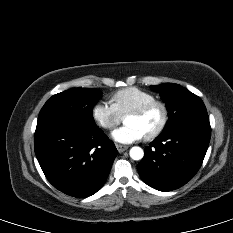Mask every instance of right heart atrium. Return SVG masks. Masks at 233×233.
<instances>
[{"instance_id":"1","label":"right heart atrium","mask_w":233,"mask_h":233,"mask_svg":"<svg viewBox=\"0 0 233 233\" xmlns=\"http://www.w3.org/2000/svg\"><path fill=\"white\" fill-rule=\"evenodd\" d=\"M92 118L98 126L105 130H112L122 121V116L112 103L102 101L93 106Z\"/></svg>"}]
</instances>
